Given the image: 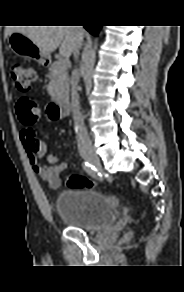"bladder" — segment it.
Here are the masks:
<instances>
[{"label":"bladder","mask_w":184,"mask_h":292,"mask_svg":"<svg viewBox=\"0 0 184 292\" xmlns=\"http://www.w3.org/2000/svg\"><path fill=\"white\" fill-rule=\"evenodd\" d=\"M56 214L68 227L96 232L112 225L118 216L116 202L93 188H68L55 201Z\"/></svg>","instance_id":"31cf9c89"}]
</instances>
